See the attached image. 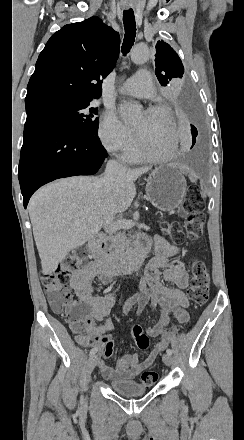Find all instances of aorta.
<instances>
[{
  "mask_svg": "<svg viewBox=\"0 0 244 440\" xmlns=\"http://www.w3.org/2000/svg\"><path fill=\"white\" fill-rule=\"evenodd\" d=\"M149 56L150 52L148 48L142 46L135 47L131 52V60L136 64L146 62ZM141 108L140 104L122 100L120 103V115L122 120L125 123L134 122L140 115Z\"/></svg>",
  "mask_w": 244,
  "mask_h": 440,
  "instance_id": "aorta-1",
  "label": "aorta"
}]
</instances>
